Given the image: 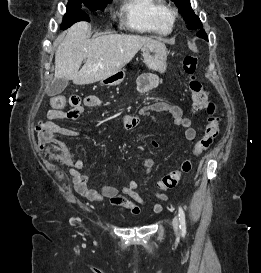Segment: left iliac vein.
I'll list each match as a JSON object with an SVG mask.
<instances>
[{
	"instance_id": "4c4485c4",
	"label": "left iliac vein",
	"mask_w": 261,
	"mask_h": 273,
	"mask_svg": "<svg viewBox=\"0 0 261 273\" xmlns=\"http://www.w3.org/2000/svg\"><path fill=\"white\" fill-rule=\"evenodd\" d=\"M172 225H173L175 232L177 233L179 230V221L176 216L173 218Z\"/></svg>"
}]
</instances>
